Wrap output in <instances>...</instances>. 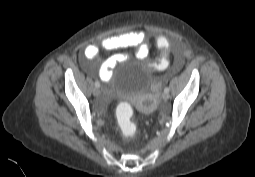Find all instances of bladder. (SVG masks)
<instances>
[{
	"label": "bladder",
	"mask_w": 255,
	"mask_h": 177,
	"mask_svg": "<svg viewBox=\"0 0 255 177\" xmlns=\"http://www.w3.org/2000/svg\"><path fill=\"white\" fill-rule=\"evenodd\" d=\"M130 65L126 64L124 70ZM152 78V69L146 62H142L134 76H128L121 79L119 76H113L106 81L105 89L109 96L126 99L137 106L145 113L147 111L146 102L139 99V96L147 91V86Z\"/></svg>",
	"instance_id": "1"
}]
</instances>
